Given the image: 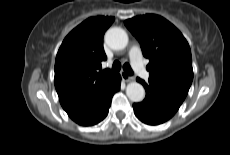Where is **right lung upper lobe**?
I'll return each mask as SVG.
<instances>
[{"label":"right lung upper lobe","instance_id":"obj_1","mask_svg":"<svg viewBox=\"0 0 230 155\" xmlns=\"http://www.w3.org/2000/svg\"><path fill=\"white\" fill-rule=\"evenodd\" d=\"M114 17H91L73 29L62 42L55 61V88L65 111L94 100L116 76L101 69L106 60L103 36Z\"/></svg>","mask_w":230,"mask_h":155}]
</instances>
